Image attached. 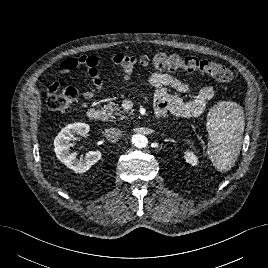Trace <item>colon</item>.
<instances>
[{"label": "colon", "mask_w": 268, "mask_h": 268, "mask_svg": "<svg viewBox=\"0 0 268 268\" xmlns=\"http://www.w3.org/2000/svg\"><path fill=\"white\" fill-rule=\"evenodd\" d=\"M135 63L140 66H152L158 70L183 69L187 74L201 73L222 83H229L233 80V73L225 66L194 56L159 53L152 58H142L134 63L130 57L124 56L120 58L118 65L120 68H129ZM77 98V89L68 87L59 94L50 92L47 98V106L52 110L69 112L74 108Z\"/></svg>", "instance_id": "5ec220e1"}]
</instances>
